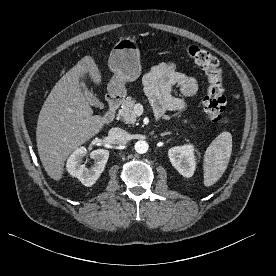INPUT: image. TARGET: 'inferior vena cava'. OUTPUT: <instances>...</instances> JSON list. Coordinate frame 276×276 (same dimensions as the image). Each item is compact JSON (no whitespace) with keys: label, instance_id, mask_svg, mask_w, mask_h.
Instances as JSON below:
<instances>
[{"label":"inferior vena cava","instance_id":"1","mask_svg":"<svg viewBox=\"0 0 276 276\" xmlns=\"http://www.w3.org/2000/svg\"><path fill=\"white\" fill-rule=\"evenodd\" d=\"M108 134L111 141L117 145H124L129 140L128 133L125 130L118 127L111 128Z\"/></svg>","mask_w":276,"mask_h":276}]
</instances>
